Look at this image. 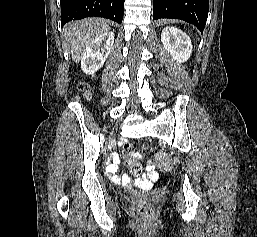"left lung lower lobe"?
Segmentation results:
<instances>
[{
    "label": "left lung lower lobe",
    "instance_id": "1",
    "mask_svg": "<svg viewBox=\"0 0 257 237\" xmlns=\"http://www.w3.org/2000/svg\"><path fill=\"white\" fill-rule=\"evenodd\" d=\"M209 0H153V19H181L203 32Z\"/></svg>",
    "mask_w": 257,
    "mask_h": 237
}]
</instances>
